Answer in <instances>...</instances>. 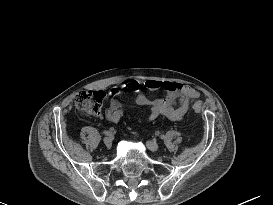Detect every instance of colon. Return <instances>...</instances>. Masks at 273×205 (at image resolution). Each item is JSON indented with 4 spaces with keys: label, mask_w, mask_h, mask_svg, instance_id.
<instances>
[{
    "label": "colon",
    "mask_w": 273,
    "mask_h": 205,
    "mask_svg": "<svg viewBox=\"0 0 273 205\" xmlns=\"http://www.w3.org/2000/svg\"><path fill=\"white\" fill-rule=\"evenodd\" d=\"M106 94L103 91L81 90L74 96L75 107L85 116L95 117L101 112ZM193 109L199 112L202 109L201 102H194Z\"/></svg>",
    "instance_id": "5ec220e1"
}]
</instances>
